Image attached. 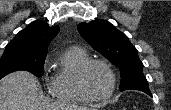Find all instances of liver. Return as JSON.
Masks as SVG:
<instances>
[{"mask_svg": "<svg viewBox=\"0 0 171 110\" xmlns=\"http://www.w3.org/2000/svg\"><path fill=\"white\" fill-rule=\"evenodd\" d=\"M41 86L27 71H17L0 82V110H90L67 103H48L39 97Z\"/></svg>", "mask_w": 171, "mask_h": 110, "instance_id": "liver-1", "label": "liver"}]
</instances>
